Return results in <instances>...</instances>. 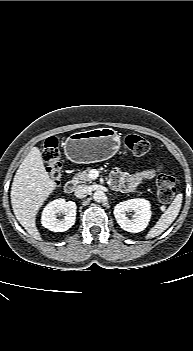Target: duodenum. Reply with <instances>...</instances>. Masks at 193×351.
I'll use <instances>...</instances> for the list:
<instances>
[{
    "instance_id": "1",
    "label": "duodenum",
    "mask_w": 193,
    "mask_h": 351,
    "mask_svg": "<svg viewBox=\"0 0 193 351\" xmlns=\"http://www.w3.org/2000/svg\"><path fill=\"white\" fill-rule=\"evenodd\" d=\"M75 188V183L72 181H69L65 184L64 189L67 193H72Z\"/></svg>"
}]
</instances>
